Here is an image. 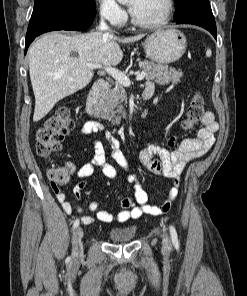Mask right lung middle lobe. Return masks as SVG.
Wrapping results in <instances>:
<instances>
[{
    "instance_id": "right-lung-middle-lobe-1",
    "label": "right lung middle lobe",
    "mask_w": 247,
    "mask_h": 296,
    "mask_svg": "<svg viewBox=\"0 0 247 296\" xmlns=\"http://www.w3.org/2000/svg\"><path fill=\"white\" fill-rule=\"evenodd\" d=\"M59 5L66 6L71 14L96 13L95 0H35L31 17Z\"/></svg>"
}]
</instances>
